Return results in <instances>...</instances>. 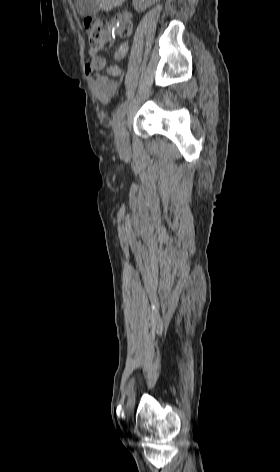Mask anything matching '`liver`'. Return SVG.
<instances>
[{
  "label": "liver",
  "instance_id": "6515ba94",
  "mask_svg": "<svg viewBox=\"0 0 280 472\" xmlns=\"http://www.w3.org/2000/svg\"><path fill=\"white\" fill-rule=\"evenodd\" d=\"M98 3V8L102 11L108 12L111 11L113 8L118 7L124 2L125 0H96Z\"/></svg>",
  "mask_w": 280,
  "mask_h": 472
}]
</instances>
